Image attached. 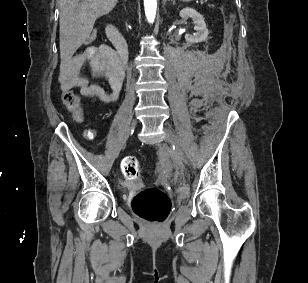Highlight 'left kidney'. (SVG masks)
I'll return each mask as SVG.
<instances>
[{
	"label": "left kidney",
	"mask_w": 308,
	"mask_h": 283,
	"mask_svg": "<svg viewBox=\"0 0 308 283\" xmlns=\"http://www.w3.org/2000/svg\"><path fill=\"white\" fill-rule=\"evenodd\" d=\"M181 18H191L195 24L194 29L196 33L194 35H185V39L189 43H200L207 39L208 29L206 28V23L204 18L200 13L192 8H184L179 13Z\"/></svg>",
	"instance_id": "1"
}]
</instances>
